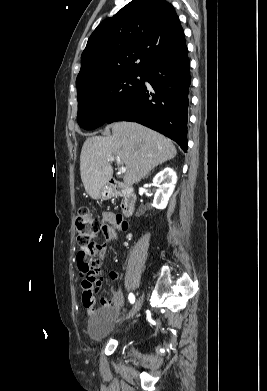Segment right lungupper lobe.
Segmentation results:
<instances>
[{"mask_svg": "<svg viewBox=\"0 0 267 391\" xmlns=\"http://www.w3.org/2000/svg\"><path fill=\"white\" fill-rule=\"evenodd\" d=\"M186 44L173 6L166 0H132L104 20L88 39L76 79L78 93L92 81L124 72H143Z\"/></svg>", "mask_w": 267, "mask_h": 391, "instance_id": "right-lung-upper-lobe-1", "label": "right lung upper lobe"}]
</instances>
